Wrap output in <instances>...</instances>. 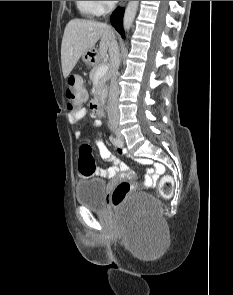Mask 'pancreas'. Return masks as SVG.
I'll list each match as a JSON object with an SVG mask.
<instances>
[{"label": "pancreas", "instance_id": "1", "mask_svg": "<svg viewBox=\"0 0 233 295\" xmlns=\"http://www.w3.org/2000/svg\"><path fill=\"white\" fill-rule=\"evenodd\" d=\"M105 64L103 61H98L97 63L94 64L93 68L91 69L90 71V79L92 81H95V78H96V72L98 70V68ZM110 77V72H106L98 81V84L96 86V93H99L102 88L104 87L105 83L107 82V80L109 79Z\"/></svg>", "mask_w": 233, "mask_h": 295}]
</instances>
